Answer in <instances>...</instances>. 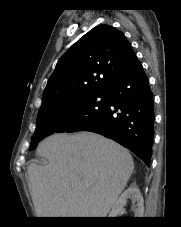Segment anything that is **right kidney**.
I'll use <instances>...</instances> for the list:
<instances>
[{"label":"right kidney","instance_id":"right-kidney-1","mask_svg":"<svg viewBox=\"0 0 181 227\" xmlns=\"http://www.w3.org/2000/svg\"><path fill=\"white\" fill-rule=\"evenodd\" d=\"M128 199H131L135 204L134 217H143L144 200L139 188L135 184H132L121 194V196L112 207V211L110 212L109 217H118V215L123 212L124 206L126 205Z\"/></svg>","mask_w":181,"mask_h":227}]
</instances>
